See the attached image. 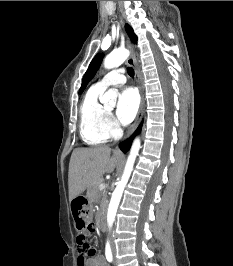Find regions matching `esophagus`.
Wrapping results in <instances>:
<instances>
[{"label":"esophagus","instance_id":"esophagus-1","mask_svg":"<svg viewBox=\"0 0 233 266\" xmlns=\"http://www.w3.org/2000/svg\"><path fill=\"white\" fill-rule=\"evenodd\" d=\"M120 23L123 26V20H122V18H120ZM126 45H127L128 49L131 52L130 56L127 59V63L131 67H133V69H134L135 79H136V83H137V86H138V89H139V92H140V97H141V101H140V106H139V110H138L137 117H136L134 123L131 125L129 131L127 132V135H126V138H127L137 128V126H138V124H139V122H140V120L142 118L145 100H144L143 89H142V86H141V83H140V74H139V70H138L137 65H136V59H135V56H134L133 46H132L131 42L128 39L126 41Z\"/></svg>","mask_w":233,"mask_h":266}]
</instances>
